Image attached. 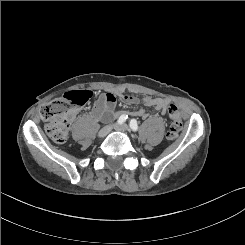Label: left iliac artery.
Segmentation results:
<instances>
[{"instance_id": "1", "label": "left iliac artery", "mask_w": 245, "mask_h": 245, "mask_svg": "<svg viewBox=\"0 0 245 245\" xmlns=\"http://www.w3.org/2000/svg\"><path fill=\"white\" fill-rule=\"evenodd\" d=\"M129 126L130 128L133 130V131H137L138 130V124H137V121L135 119H132L129 123Z\"/></svg>"}]
</instances>
